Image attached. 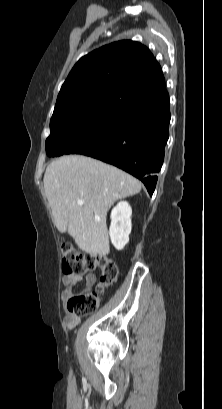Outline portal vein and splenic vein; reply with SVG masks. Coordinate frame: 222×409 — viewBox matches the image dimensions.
Listing matches in <instances>:
<instances>
[{
  "mask_svg": "<svg viewBox=\"0 0 222 409\" xmlns=\"http://www.w3.org/2000/svg\"><path fill=\"white\" fill-rule=\"evenodd\" d=\"M77 203H78L79 205H82V204H83V200H82V199H79V200L77 201Z\"/></svg>",
  "mask_w": 222,
  "mask_h": 409,
  "instance_id": "18ae733b",
  "label": "portal vein and splenic vein"
}]
</instances>
